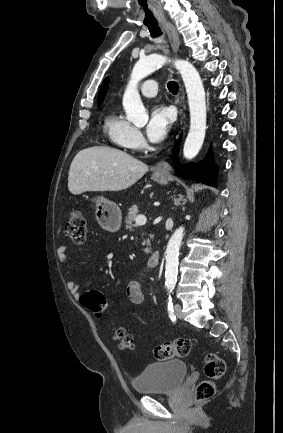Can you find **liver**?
<instances>
[{
    "mask_svg": "<svg viewBox=\"0 0 283 433\" xmlns=\"http://www.w3.org/2000/svg\"><path fill=\"white\" fill-rule=\"evenodd\" d=\"M149 170L147 164L111 146H90L74 156L68 174L72 194L86 190H123Z\"/></svg>",
    "mask_w": 283,
    "mask_h": 433,
    "instance_id": "6515ba94",
    "label": "liver"
}]
</instances>
